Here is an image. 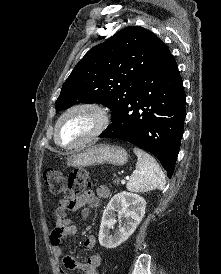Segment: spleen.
<instances>
[{"label":"spleen","mask_w":221,"mask_h":274,"mask_svg":"<svg viewBox=\"0 0 221 274\" xmlns=\"http://www.w3.org/2000/svg\"><path fill=\"white\" fill-rule=\"evenodd\" d=\"M138 158L136 170L126 187L131 192L144 193L154 189L163 190L166 184L165 175L156 160L139 148L133 149Z\"/></svg>","instance_id":"spleen-1"}]
</instances>
